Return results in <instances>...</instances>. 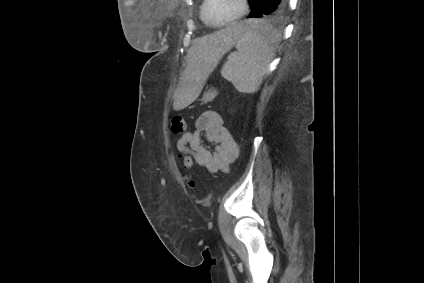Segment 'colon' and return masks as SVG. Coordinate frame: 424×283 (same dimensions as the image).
I'll use <instances>...</instances> for the list:
<instances>
[{
    "mask_svg": "<svg viewBox=\"0 0 424 283\" xmlns=\"http://www.w3.org/2000/svg\"><path fill=\"white\" fill-rule=\"evenodd\" d=\"M186 121L182 116L179 115H175L172 117L171 122H170V129L171 132L173 134H182L186 131ZM184 161V167L187 170H190L193 166V163L191 161V159L187 156H184L183 158ZM188 185L190 188H194L195 187V182L193 181V179L191 178L190 175L186 176Z\"/></svg>",
    "mask_w": 424,
    "mask_h": 283,
    "instance_id": "1",
    "label": "colon"
}]
</instances>
